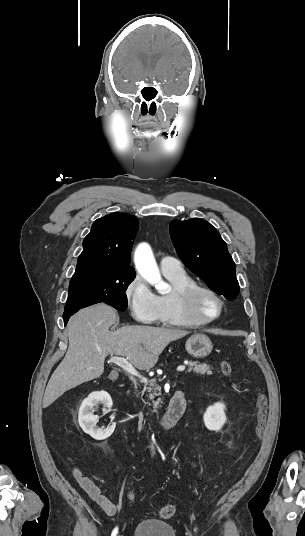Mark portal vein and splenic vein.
<instances>
[{"label": "portal vein and splenic vein", "mask_w": 305, "mask_h": 536, "mask_svg": "<svg viewBox=\"0 0 305 536\" xmlns=\"http://www.w3.org/2000/svg\"><path fill=\"white\" fill-rule=\"evenodd\" d=\"M110 362H112V364H117V366H120V368H123V370H126L128 374H131V376H137V378H140L141 382H147L146 378H143V376H140L137 370H135L132 364H129L128 360H125V358H117V356H111ZM177 370L178 372H184L185 366H178Z\"/></svg>", "instance_id": "18ae733b"}]
</instances>
